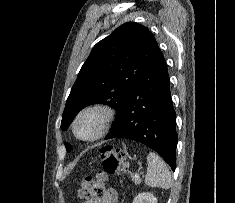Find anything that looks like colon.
Segmentation results:
<instances>
[{"instance_id": "obj_1", "label": "colon", "mask_w": 235, "mask_h": 203, "mask_svg": "<svg viewBox=\"0 0 235 203\" xmlns=\"http://www.w3.org/2000/svg\"><path fill=\"white\" fill-rule=\"evenodd\" d=\"M101 170L81 180L79 195L86 199H98L105 194V182L110 174L122 175L128 171V162L123 150L106 145L100 149Z\"/></svg>"}]
</instances>
